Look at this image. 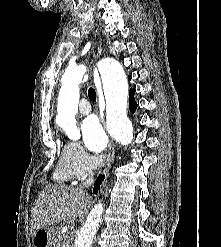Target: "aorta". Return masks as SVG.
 Returning a JSON list of instances; mask_svg holds the SVG:
<instances>
[{
  "mask_svg": "<svg viewBox=\"0 0 221 247\" xmlns=\"http://www.w3.org/2000/svg\"><path fill=\"white\" fill-rule=\"evenodd\" d=\"M86 71L85 65L69 67L61 78L57 121L71 140H78L81 136L76 127L75 116L80 98L79 85ZM99 73L106 100L109 132L121 145H129L133 140V126L127 117L128 83L124 70L118 61L108 58L101 62ZM103 210L104 206L101 202L94 206L74 241V247H91L102 222Z\"/></svg>",
  "mask_w": 221,
  "mask_h": 247,
  "instance_id": "1",
  "label": "aorta"
}]
</instances>
